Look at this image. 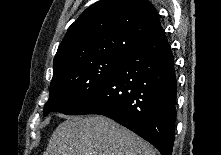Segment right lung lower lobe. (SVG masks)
I'll use <instances>...</instances> for the list:
<instances>
[{
  "instance_id": "1",
  "label": "right lung lower lobe",
  "mask_w": 221,
  "mask_h": 155,
  "mask_svg": "<svg viewBox=\"0 0 221 155\" xmlns=\"http://www.w3.org/2000/svg\"><path fill=\"white\" fill-rule=\"evenodd\" d=\"M176 94L174 58L161 32L133 47L78 114L107 116L150 142L161 155H172Z\"/></svg>"
}]
</instances>
